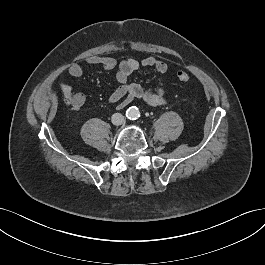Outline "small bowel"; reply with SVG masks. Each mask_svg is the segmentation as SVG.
Listing matches in <instances>:
<instances>
[{
  "label": "small bowel",
  "instance_id": "c3829d8e",
  "mask_svg": "<svg viewBox=\"0 0 265 265\" xmlns=\"http://www.w3.org/2000/svg\"><path fill=\"white\" fill-rule=\"evenodd\" d=\"M86 63L89 66L101 67L105 70L117 68L116 79L119 86L110 94L108 100L112 104L118 103L119 109H123L136 99L151 106H162L166 104L165 86L161 77H159L158 85L154 89H145L139 84L129 82L131 75L140 67H152L160 75L165 74L168 71V64L164 60L154 56H148L141 60L128 58L118 63L112 57L93 55L86 59ZM68 73L70 76L78 78L84 74V68L77 63H73L69 66ZM59 86L63 93L71 95L70 104L73 108L79 109L84 105L86 97L83 93L78 92L72 94V88L67 84L61 83Z\"/></svg>",
  "mask_w": 265,
  "mask_h": 265
}]
</instances>
